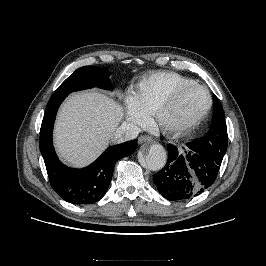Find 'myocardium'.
I'll list each match as a JSON object with an SVG mask.
<instances>
[{"label":"myocardium","instance_id":"obj_1","mask_svg":"<svg viewBox=\"0 0 266 266\" xmlns=\"http://www.w3.org/2000/svg\"><path fill=\"white\" fill-rule=\"evenodd\" d=\"M196 87L203 90L207 97V105L205 109L195 118L182 121L180 123H169L166 120L167 114L172 110L174 105L176 104L179 97L188 89ZM212 108V96L210 91L203 85L193 82L189 84L182 85L176 89H174L161 103L155 113V119L157 125L164 131L168 133H182L188 130H191L195 126H197L210 112Z\"/></svg>","mask_w":266,"mask_h":266}]
</instances>
